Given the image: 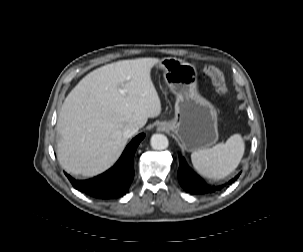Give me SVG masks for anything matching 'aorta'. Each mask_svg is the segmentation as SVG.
Listing matches in <instances>:
<instances>
[{"label":"aorta","mask_w":303,"mask_h":252,"mask_svg":"<svg viewBox=\"0 0 303 252\" xmlns=\"http://www.w3.org/2000/svg\"><path fill=\"white\" fill-rule=\"evenodd\" d=\"M150 143L155 150H164L169 145L168 138L164 134H154L151 137Z\"/></svg>","instance_id":"762f6f07"}]
</instances>
